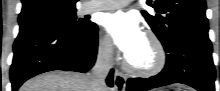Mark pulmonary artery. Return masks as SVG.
<instances>
[{
  "instance_id": "e3ab8cb5",
  "label": "pulmonary artery",
  "mask_w": 220,
  "mask_h": 91,
  "mask_svg": "<svg viewBox=\"0 0 220 91\" xmlns=\"http://www.w3.org/2000/svg\"><path fill=\"white\" fill-rule=\"evenodd\" d=\"M130 1L129 0H99L92 1L89 6L86 8V12H95L100 10H111L116 8H121L126 6Z\"/></svg>"
}]
</instances>
